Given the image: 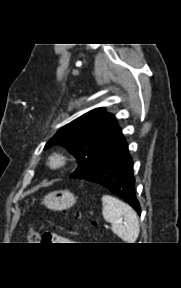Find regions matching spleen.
Instances as JSON below:
<instances>
[{
    "label": "spleen",
    "instance_id": "1",
    "mask_svg": "<svg viewBox=\"0 0 181 288\" xmlns=\"http://www.w3.org/2000/svg\"><path fill=\"white\" fill-rule=\"evenodd\" d=\"M102 205V215L112 224V231L127 243H134L140 228L137 214L132 207L110 195H103Z\"/></svg>",
    "mask_w": 181,
    "mask_h": 288
}]
</instances>
